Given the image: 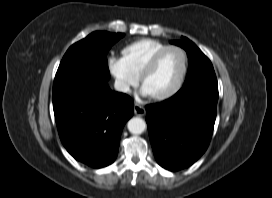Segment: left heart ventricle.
Listing matches in <instances>:
<instances>
[{"instance_id":"obj_1","label":"left heart ventricle","mask_w":272,"mask_h":198,"mask_svg":"<svg viewBox=\"0 0 272 198\" xmlns=\"http://www.w3.org/2000/svg\"><path fill=\"white\" fill-rule=\"evenodd\" d=\"M182 69L181 53L177 50H170L163 55L154 71L145 78L142 87L149 96L167 93L177 84Z\"/></svg>"}]
</instances>
